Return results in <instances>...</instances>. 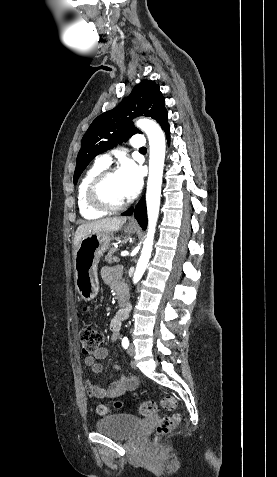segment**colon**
<instances>
[{
	"mask_svg": "<svg viewBox=\"0 0 277 477\" xmlns=\"http://www.w3.org/2000/svg\"><path fill=\"white\" fill-rule=\"evenodd\" d=\"M80 342L82 346V352L86 356L93 355L101 345L103 341L102 332L91 324H83L79 332ZM160 404L163 409L167 411H174L177 408V401L173 396H165L161 399ZM120 406L119 403L116 404ZM156 411V403L154 401H145L140 404L139 412L142 415H150ZM99 415H106L110 411L105 406H99L97 408ZM181 421V415L179 413H173L172 415L163 417L156 427V437H162L173 430Z\"/></svg>",
	"mask_w": 277,
	"mask_h": 477,
	"instance_id": "obj_1",
	"label": "colon"
}]
</instances>
